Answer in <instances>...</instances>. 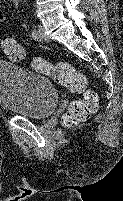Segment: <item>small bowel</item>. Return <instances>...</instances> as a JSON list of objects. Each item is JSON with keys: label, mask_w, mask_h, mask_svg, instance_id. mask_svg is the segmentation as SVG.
<instances>
[{"label": "small bowel", "mask_w": 123, "mask_h": 201, "mask_svg": "<svg viewBox=\"0 0 123 201\" xmlns=\"http://www.w3.org/2000/svg\"><path fill=\"white\" fill-rule=\"evenodd\" d=\"M5 20H6L5 14L2 11H0V23H3Z\"/></svg>", "instance_id": "obj_1"}]
</instances>
